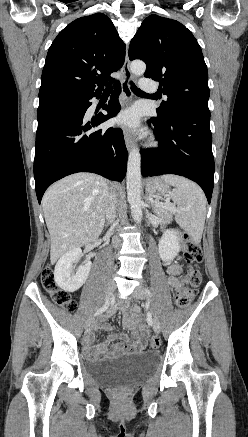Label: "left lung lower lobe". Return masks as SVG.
I'll list each match as a JSON object with an SVG mask.
<instances>
[{
    "label": "left lung lower lobe",
    "mask_w": 248,
    "mask_h": 437,
    "mask_svg": "<svg viewBox=\"0 0 248 437\" xmlns=\"http://www.w3.org/2000/svg\"><path fill=\"white\" fill-rule=\"evenodd\" d=\"M159 140L155 150H142L143 176L177 174L187 177L205 192L211 201L214 177L210 111L181 109L167 119L150 118Z\"/></svg>",
    "instance_id": "0a47b994"
}]
</instances>
